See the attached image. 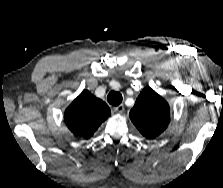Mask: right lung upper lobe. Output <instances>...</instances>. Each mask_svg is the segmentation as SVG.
Listing matches in <instances>:
<instances>
[{
    "label": "right lung upper lobe",
    "instance_id": "1",
    "mask_svg": "<svg viewBox=\"0 0 223 188\" xmlns=\"http://www.w3.org/2000/svg\"><path fill=\"white\" fill-rule=\"evenodd\" d=\"M110 115L105 102L84 90L65 110L64 119L75 136L89 139Z\"/></svg>",
    "mask_w": 223,
    "mask_h": 188
}]
</instances>
